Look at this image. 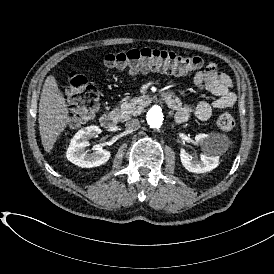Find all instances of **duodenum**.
Segmentation results:
<instances>
[{
  "instance_id": "410a0bca",
  "label": "duodenum",
  "mask_w": 274,
  "mask_h": 274,
  "mask_svg": "<svg viewBox=\"0 0 274 274\" xmlns=\"http://www.w3.org/2000/svg\"><path fill=\"white\" fill-rule=\"evenodd\" d=\"M160 98H162L167 105L175 110L180 106V100L177 96L169 94L167 92H158L157 93ZM119 122V117L115 113L107 112L102 114L100 123L103 126V128L107 130H114Z\"/></svg>"
}]
</instances>
